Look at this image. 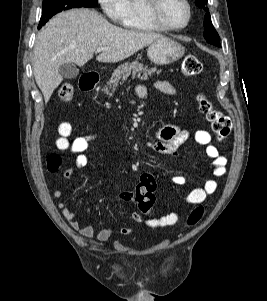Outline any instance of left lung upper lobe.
<instances>
[{"label": "left lung upper lobe", "instance_id": "1", "mask_svg": "<svg viewBox=\"0 0 267 301\" xmlns=\"http://www.w3.org/2000/svg\"><path fill=\"white\" fill-rule=\"evenodd\" d=\"M207 1L208 0H198L195 2V4L200 8H204L205 11H208V8L205 7ZM204 28V37L206 41L210 44L220 46V37L211 22V16L209 12H207L204 17Z\"/></svg>", "mask_w": 267, "mask_h": 301}]
</instances>
